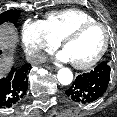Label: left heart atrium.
<instances>
[{"label": "left heart atrium", "mask_w": 117, "mask_h": 117, "mask_svg": "<svg viewBox=\"0 0 117 117\" xmlns=\"http://www.w3.org/2000/svg\"><path fill=\"white\" fill-rule=\"evenodd\" d=\"M58 59L61 60V61H71L68 53L63 50L61 51L58 55H57Z\"/></svg>", "instance_id": "1"}]
</instances>
